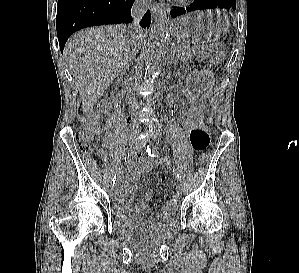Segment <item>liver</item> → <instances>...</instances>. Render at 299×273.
<instances>
[{
    "instance_id": "obj_1",
    "label": "liver",
    "mask_w": 299,
    "mask_h": 273,
    "mask_svg": "<svg viewBox=\"0 0 299 273\" xmlns=\"http://www.w3.org/2000/svg\"><path fill=\"white\" fill-rule=\"evenodd\" d=\"M145 38L124 25L96 27L75 33L64 55L78 88L84 111L92 108L110 83L128 65L130 40L137 47Z\"/></svg>"
}]
</instances>
